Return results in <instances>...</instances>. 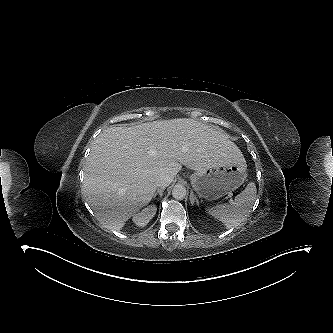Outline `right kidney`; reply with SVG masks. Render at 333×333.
Instances as JSON below:
<instances>
[{
	"mask_svg": "<svg viewBox=\"0 0 333 333\" xmlns=\"http://www.w3.org/2000/svg\"><path fill=\"white\" fill-rule=\"evenodd\" d=\"M156 211L157 208L155 205H149L148 207L144 208L141 212L135 213L133 215L132 220L137 226L144 227L155 216Z\"/></svg>",
	"mask_w": 333,
	"mask_h": 333,
	"instance_id": "ca27d5eb",
	"label": "right kidney"
}]
</instances>
